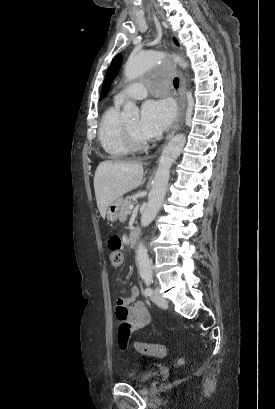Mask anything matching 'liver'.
Returning a JSON list of instances; mask_svg holds the SVG:
<instances>
[{
    "label": "liver",
    "mask_w": 275,
    "mask_h": 409,
    "mask_svg": "<svg viewBox=\"0 0 275 409\" xmlns=\"http://www.w3.org/2000/svg\"><path fill=\"white\" fill-rule=\"evenodd\" d=\"M143 178L141 162H113L103 160L98 164L94 176L97 207L102 219L106 217L107 207L112 200L120 198L125 192L136 188Z\"/></svg>",
    "instance_id": "liver-1"
}]
</instances>
